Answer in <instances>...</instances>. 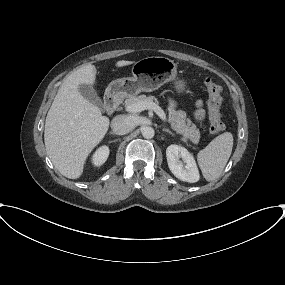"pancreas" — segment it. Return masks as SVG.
<instances>
[{"instance_id": "pancreas-1", "label": "pancreas", "mask_w": 285, "mask_h": 285, "mask_svg": "<svg viewBox=\"0 0 285 285\" xmlns=\"http://www.w3.org/2000/svg\"><path fill=\"white\" fill-rule=\"evenodd\" d=\"M137 102H153L158 105V100L154 96H130L125 100V106ZM169 118L168 121L171 124L172 129L183 136L184 139H189L194 144H198L200 140V131L195 124H192L191 120L186 117V113L183 110H176L174 107H168Z\"/></svg>"}]
</instances>
